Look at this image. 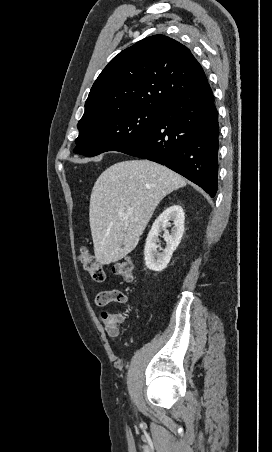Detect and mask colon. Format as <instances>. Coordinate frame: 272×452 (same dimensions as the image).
<instances>
[{
	"instance_id": "5ec220e1",
	"label": "colon",
	"mask_w": 272,
	"mask_h": 452,
	"mask_svg": "<svg viewBox=\"0 0 272 452\" xmlns=\"http://www.w3.org/2000/svg\"><path fill=\"white\" fill-rule=\"evenodd\" d=\"M80 262L83 269L89 273L94 282L103 283L107 280V274L103 266L89 253L86 247L81 250ZM133 269V262L129 258L119 260L113 265L114 273L126 281L132 280Z\"/></svg>"
}]
</instances>
